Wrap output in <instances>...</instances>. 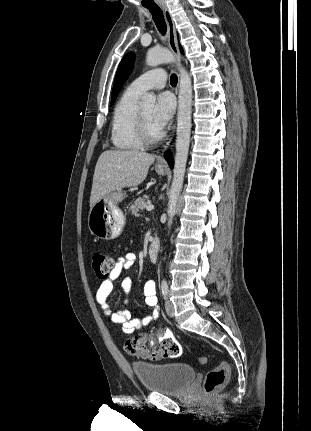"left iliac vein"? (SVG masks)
<instances>
[{
    "instance_id": "left-iliac-vein-1",
    "label": "left iliac vein",
    "mask_w": 311,
    "mask_h": 431,
    "mask_svg": "<svg viewBox=\"0 0 311 431\" xmlns=\"http://www.w3.org/2000/svg\"><path fill=\"white\" fill-rule=\"evenodd\" d=\"M166 313L170 317H174V305L170 300H166L165 302Z\"/></svg>"
}]
</instances>
